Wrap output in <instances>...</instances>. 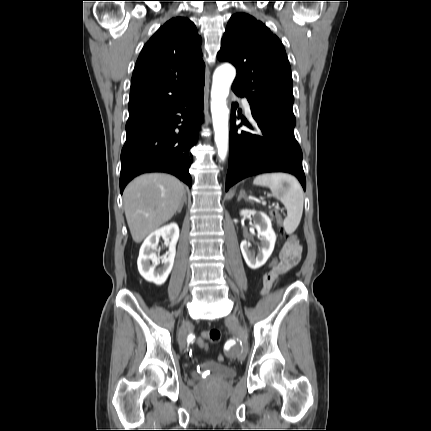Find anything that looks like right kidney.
<instances>
[{"mask_svg": "<svg viewBox=\"0 0 431 431\" xmlns=\"http://www.w3.org/2000/svg\"><path fill=\"white\" fill-rule=\"evenodd\" d=\"M162 237L169 245L167 256L161 258L155 253ZM179 239V227L172 223L152 232L143 242L137 260L141 276L148 282L162 285L167 280L174 264L176 244ZM152 262V265H151ZM162 263L161 267H158Z\"/></svg>", "mask_w": 431, "mask_h": 431, "instance_id": "right-kidney-1", "label": "right kidney"}]
</instances>
